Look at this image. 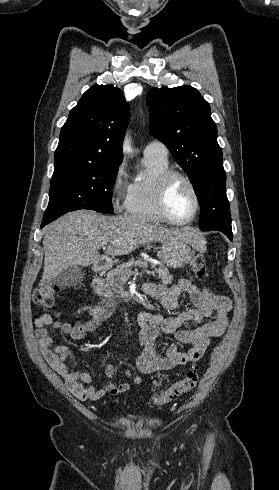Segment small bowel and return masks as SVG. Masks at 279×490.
I'll return each mask as SVG.
<instances>
[{
  "instance_id": "small-bowel-1",
  "label": "small bowel",
  "mask_w": 279,
  "mask_h": 490,
  "mask_svg": "<svg viewBox=\"0 0 279 490\" xmlns=\"http://www.w3.org/2000/svg\"><path fill=\"white\" fill-rule=\"evenodd\" d=\"M145 291L150 297L158 300L165 309L171 311L179 308L180 296L187 294L194 308L180 311L169 317L152 312L138 314L137 324L140 328L142 353L137 360V365L143 373L185 366L199 360L211 340L221 337L227 330L232 306L226 296L213 294L206 288H199L186 278L180 279L169 287L160 284L147 285ZM211 316H214L212 321L203 323ZM189 321L198 326L193 329L180 328L182 324ZM99 326L100 319L95 317L76 323H60L49 314L41 315L34 322L35 339L42 355L65 381L67 389L81 400H98L106 394L118 395L127 391L130 386L127 383H108L103 388L97 389L92 385L93 378L88 372L70 371L67 360L74 359V352L66 345H54L50 330L57 328L73 340L81 341L88 334L95 332ZM161 332L175 334L178 341L190 344L192 348L187 352H181L176 345H171L165 357L159 356L155 349V341ZM105 374L109 378L115 376V368L112 364H106ZM126 374L130 376V371L127 370ZM141 381L140 377L133 379L135 384Z\"/></svg>"
}]
</instances>
